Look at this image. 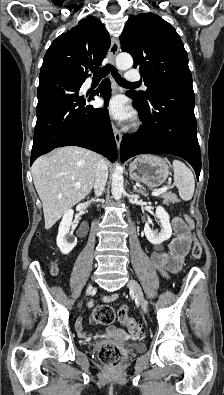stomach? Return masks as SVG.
<instances>
[{"label":"stomach","mask_w":224,"mask_h":395,"mask_svg":"<svg viewBox=\"0 0 224 395\" xmlns=\"http://www.w3.org/2000/svg\"><path fill=\"white\" fill-rule=\"evenodd\" d=\"M129 173L133 180L149 187H159L170 174L168 162L152 155H140L129 165Z\"/></svg>","instance_id":"1"}]
</instances>
